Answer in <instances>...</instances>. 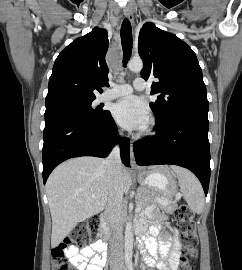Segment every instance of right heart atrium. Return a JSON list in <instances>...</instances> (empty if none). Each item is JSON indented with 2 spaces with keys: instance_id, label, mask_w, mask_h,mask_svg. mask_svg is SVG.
Segmentation results:
<instances>
[{
  "instance_id": "1",
  "label": "right heart atrium",
  "mask_w": 242,
  "mask_h": 270,
  "mask_svg": "<svg viewBox=\"0 0 242 270\" xmlns=\"http://www.w3.org/2000/svg\"><path fill=\"white\" fill-rule=\"evenodd\" d=\"M117 132H118L119 134H121V129H117Z\"/></svg>"
}]
</instances>
